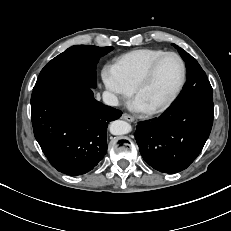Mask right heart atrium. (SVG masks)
I'll return each mask as SVG.
<instances>
[{
	"instance_id": "right-heart-atrium-1",
	"label": "right heart atrium",
	"mask_w": 231,
	"mask_h": 231,
	"mask_svg": "<svg viewBox=\"0 0 231 231\" xmlns=\"http://www.w3.org/2000/svg\"><path fill=\"white\" fill-rule=\"evenodd\" d=\"M101 78L110 102L113 104L118 103L120 98L127 97L132 92V88L117 75L112 66L106 65L102 68Z\"/></svg>"
}]
</instances>
